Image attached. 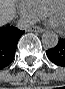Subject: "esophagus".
<instances>
[{
  "mask_svg": "<svg viewBox=\"0 0 65 89\" xmlns=\"http://www.w3.org/2000/svg\"><path fill=\"white\" fill-rule=\"evenodd\" d=\"M28 31L42 33L44 32V29L37 27V26H33V27L28 28Z\"/></svg>",
  "mask_w": 65,
  "mask_h": 89,
  "instance_id": "34e87169",
  "label": "esophagus"
}]
</instances>
